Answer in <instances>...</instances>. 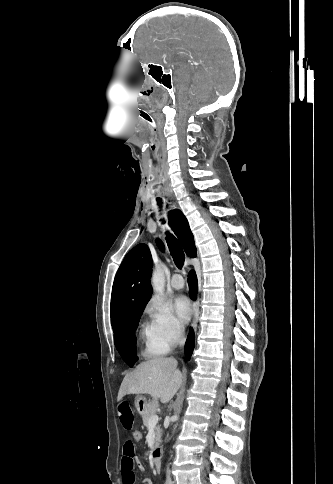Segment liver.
<instances>
[{
  "instance_id": "liver-1",
  "label": "liver",
  "mask_w": 333,
  "mask_h": 484,
  "mask_svg": "<svg viewBox=\"0 0 333 484\" xmlns=\"http://www.w3.org/2000/svg\"><path fill=\"white\" fill-rule=\"evenodd\" d=\"M183 376L174 358H155L140 363L127 374L120 386L117 401L128 394H148L168 403L179 390Z\"/></svg>"
}]
</instances>
